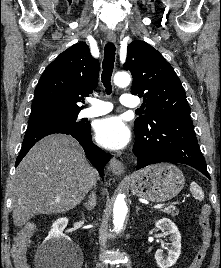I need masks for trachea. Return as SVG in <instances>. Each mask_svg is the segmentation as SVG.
I'll return each mask as SVG.
<instances>
[{
  "label": "trachea",
  "mask_w": 221,
  "mask_h": 268,
  "mask_svg": "<svg viewBox=\"0 0 221 268\" xmlns=\"http://www.w3.org/2000/svg\"><path fill=\"white\" fill-rule=\"evenodd\" d=\"M115 62V45L108 42L104 47V60L102 62V83L105 86V91L109 95L112 92L111 76Z\"/></svg>",
  "instance_id": "3493384b"
}]
</instances>
